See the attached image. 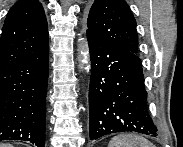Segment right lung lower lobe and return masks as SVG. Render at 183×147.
<instances>
[{
  "instance_id": "right-lung-lower-lobe-1",
  "label": "right lung lower lobe",
  "mask_w": 183,
  "mask_h": 147,
  "mask_svg": "<svg viewBox=\"0 0 183 147\" xmlns=\"http://www.w3.org/2000/svg\"><path fill=\"white\" fill-rule=\"evenodd\" d=\"M48 50L0 69V141H30L45 145Z\"/></svg>"
}]
</instances>
